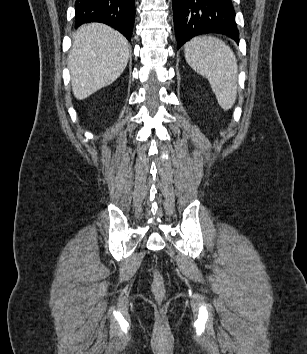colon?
<instances>
[{
    "label": "colon",
    "instance_id": "1",
    "mask_svg": "<svg viewBox=\"0 0 307 354\" xmlns=\"http://www.w3.org/2000/svg\"><path fill=\"white\" fill-rule=\"evenodd\" d=\"M153 295L161 300L165 295V285L164 278L158 270H154L152 274V285H151Z\"/></svg>",
    "mask_w": 307,
    "mask_h": 354
}]
</instances>
